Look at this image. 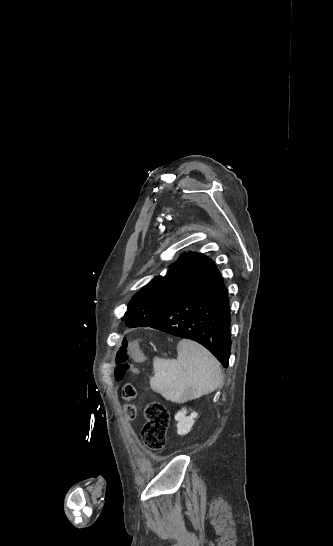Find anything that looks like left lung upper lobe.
<instances>
[{
	"mask_svg": "<svg viewBox=\"0 0 333 546\" xmlns=\"http://www.w3.org/2000/svg\"><path fill=\"white\" fill-rule=\"evenodd\" d=\"M208 260L201 253H184L164 277L156 276L132 297L123 320L134 316L140 326L153 323L163 308L190 287Z\"/></svg>",
	"mask_w": 333,
	"mask_h": 546,
	"instance_id": "obj_1",
	"label": "left lung upper lobe"
}]
</instances>
